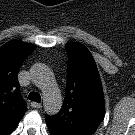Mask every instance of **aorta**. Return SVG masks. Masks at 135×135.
<instances>
[{
	"label": "aorta",
	"mask_w": 135,
	"mask_h": 135,
	"mask_svg": "<svg viewBox=\"0 0 135 135\" xmlns=\"http://www.w3.org/2000/svg\"><path fill=\"white\" fill-rule=\"evenodd\" d=\"M32 79L35 84L43 89L44 109L47 114L55 115L62 107V98L54 86L51 71L44 64L38 63L32 67Z\"/></svg>",
	"instance_id": "obj_1"
}]
</instances>
